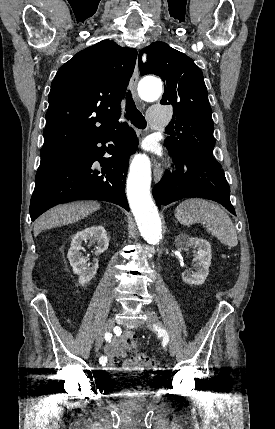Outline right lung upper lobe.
Returning a JSON list of instances; mask_svg holds the SVG:
<instances>
[{"label":"right lung upper lobe","mask_w":275,"mask_h":429,"mask_svg":"<svg viewBox=\"0 0 275 429\" xmlns=\"http://www.w3.org/2000/svg\"><path fill=\"white\" fill-rule=\"evenodd\" d=\"M137 51L103 40L59 68L48 96L41 157L116 129Z\"/></svg>","instance_id":"cb5924a9"}]
</instances>
